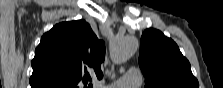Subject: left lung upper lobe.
<instances>
[{
    "mask_svg": "<svg viewBox=\"0 0 223 88\" xmlns=\"http://www.w3.org/2000/svg\"><path fill=\"white\" fill-rule=\"evenodd\" d=\"M139 66L145 76V88H198L189 61L177 44L156 29L143 32Z\"/></svg>",
    "mask_w": 223,
    "mask_h": 88,
    "instance_id": "1",
    "label": "left lung upper lobe"
}]
</instances>
